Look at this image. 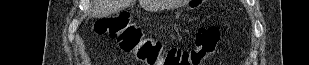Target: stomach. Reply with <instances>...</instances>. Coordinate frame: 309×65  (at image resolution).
<instances>
[{
	"label": "stomach",
	"instance_id": "1",
	"mask_svg": "<svg viewBox=\"0 0 309 65\" xmlns=\"http://www.w3.org/2000/svg\"><path fill=\"white\" fill-rule=\"evenodd\" d=\"M197 2H200V1H193V2L191 3V6L195 5V3H197Z\"/></svg>",
	"mask_w": 309,
	"mask_h": 65
}]
</instances>
